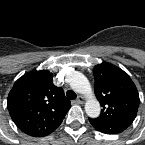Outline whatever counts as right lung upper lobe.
Listing matches in <instances>:
<instances>
[{"label": "right lung upper lobe", "mask_w": 145, "mask_h": 145, "mask_svg": "<svg viewBox=\"0 0 145 145\" xmlns=\"http://www.w3.org/2000/svg\"><path fill=\"white\" fill-rule=\"evenodd\" d=\"M52 79L53 74L47 70L31 71L14 83L8 95L12 120L30 136L52 133L71 107L62 88L56 87Z\"/></svg>", "instance_id": "cb5924a9"}]
</instances>
